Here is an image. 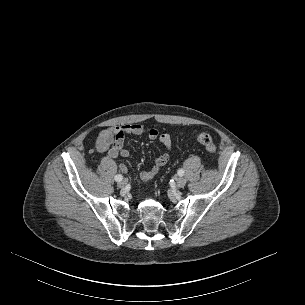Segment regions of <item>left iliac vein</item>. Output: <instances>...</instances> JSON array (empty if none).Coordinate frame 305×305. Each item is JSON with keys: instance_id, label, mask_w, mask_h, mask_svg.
<instances>
[{"instance_id": "obj_1", "label": "left iliac vein", "mask_w": 305, "mask_h": 305, "mask_svg": "<svg viewBox=\"0 0 305 305\" xmlns=\"http://www.w3.org/2000/svg\"><path fill=\"white\" fill-rule=\"evenodd\" d=\"M185 185H186V179H185L184 177L180 176V177H178V178L176 179V186H177L178 188H182V187H184Z\"/></svg>"}]
</instances>
